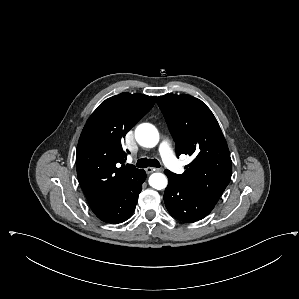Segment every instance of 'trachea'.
<instances>
[{
	"label": "trachea",
	"instance_id": "trachea-1",
	"mask_svg": "<svg viewBox=\"0 0 299 299\" xmlns=\"http://www.w3.org/2000/svg\"><path fill=\"white\" fill-rule=\"evenodd\" d=\"M136 166L139 167V168H147L148 166H150V167H160V163L156 159L141 158L137 161Z\"/></svg>",
	"mask_w": 299,
	"mask_h": 299
}]
</instances>
